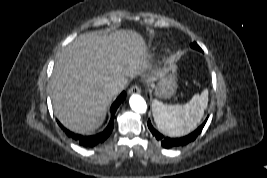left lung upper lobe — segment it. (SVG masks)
I'll return each instance as SVG.
<instances>
[{
  "label": "left lung upper lobe",
  "instance_id": "1",
  "mask_svg": "<svg viewBox=\"0 0 267 178\" xmlns=\"http://www.w3.org/2000/svg\"><path fill=\"white\" fill-rule=\"evenodd\" d=\"M191 47L199 51H202L201 48L195 42L191 45Z\"/></svg>",
  "mask_w": 267,
  "mask_h": 178
}]
</instances>
